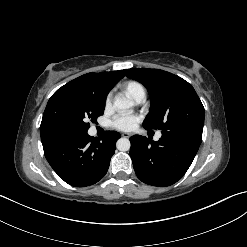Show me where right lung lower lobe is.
Returning a JSON list of instances; mask_svg holds the SVG:
<instances>
[{
    "instance_id": "obj_1",
    "label": "right lung lower lobe",
    "mask_w": 247,
    "mask_h": 247,
    "mask_svg": "<svg viewBox=\"0 0 247 247\" xmlns=\"http://www.w3.org/2000/svg\"><path fill=\"white\" fill-rule=\"evenodd\" d=\"M120 137L116 132H106L101 138L85 134L45 143L43 149L47 161L62 180L84 187L105 176Z\"/></svg>"
}]
</instances>
